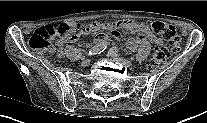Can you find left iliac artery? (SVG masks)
<instances>
[{"instance_id":"44dca946","label":"left iliac artery","mask_w":207,"mask_h":123,"mask_svg":"<svg viewBox=\"0 0 207 123\" xmlns=\"http://www.w3.org/2000/svg\"><path fill=\"white\" fill-rule=\"evenodd\" d=\"M118 52H119V50L116 47H113L110 49V53H112V54L118 55Z\"/></svg>"}]
</instances>
